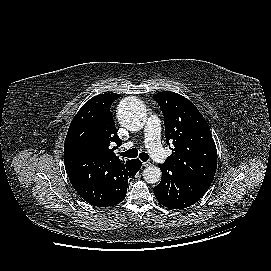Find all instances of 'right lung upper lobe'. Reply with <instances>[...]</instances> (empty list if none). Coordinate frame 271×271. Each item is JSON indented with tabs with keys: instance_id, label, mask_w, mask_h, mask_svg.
Wrapping results in <instances>:
<instances>
[{
	"instance_id": "right-lung-upper-lobe-1",
	"label": "right lung upper lobe",
	"mask_w": 271,
	"mask_h": 271,
	"mask_svg": "<svg viewBox=\"0 0 271 271\" xmlns=\"http://www.w3.org/2000/svg\"><path fill=\"white\" fill-rule=\"evenodd\" d=\"M119 94H100L88 100L73 118L64 143V155L81 153L109 163H123L114 153L122 144L110 112ZM132 160H128L130 162Z\"/></svg>"
}]
</instances>
